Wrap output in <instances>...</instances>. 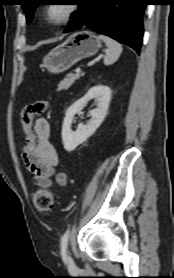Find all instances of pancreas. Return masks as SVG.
I'll list each match as a JSON object with an SVG mask.
<instances>
[{
    "label": "pancreas",
    "mask_w": 174,
    "mask_h": 278,
    "mask_svg": "<svg viewBox=\"0 0 174 278\" xmlns=\"http://www.w3.org/2000/svg\"><path fill=\"white\" fill-rule=\"evenodd\" d=\"M83 74L77 73L67 74L66 78H64L58 85V91L67 90L74 82L75 80L79 79Z\"/></svg>",
    "instance_id": "pancreas-1"
}]
</instances>
